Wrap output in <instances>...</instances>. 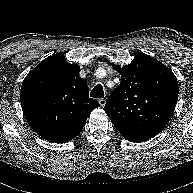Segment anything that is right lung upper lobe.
Returning a JSON list of instances; mask_svg holds the SVG:
<instances>
[{"instance_id": "1", "label": "right lung upper lobe", "mask_w": 193, "mask_h": 193, "mask_svg": "<svg viewBox=\"0 0 193 193\" xmlns=\"http://www.w3.org/2000/svg\"><path fill=\"white\" fill-rule=\"evenodd\" d=\"M79 66L60 53L37 65L21 86V107L32 129L43 139L64 143L80 133L91 112L100 106L89 98Z\"/></svg>"}]
</instances>
